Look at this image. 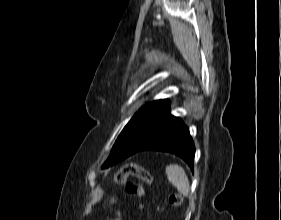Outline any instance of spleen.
<instances>
[{"instance_id": "obj_1", "label": "spleen", "mask_w": 281, "mask_h": 220, "mask_svg": "<svg viewBox=\"0 0 281 220\" xmlns=\"http://www.w3.org/2000/svg\"><path fill=\"white\" fill-rule=\"evenodd\" d=\"M166 175L169 182L184 196L190 193V183L185 170L177 165L170 164L166 167Z\"/></svg>"}]
</instances>
